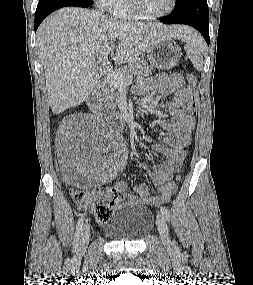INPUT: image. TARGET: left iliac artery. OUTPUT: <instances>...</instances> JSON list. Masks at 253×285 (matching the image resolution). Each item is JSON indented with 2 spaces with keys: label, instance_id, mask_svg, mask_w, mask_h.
Wrapping results in <instances>:
<instances>
[{
  "label": "left iliac artery",
  "instance_id": "left-iliac-artery-1",
  "mask_svg": "<svg viewBox=\"0 0 253 285\" xmlns=\"http://www.w3.org/2000/svg\"><path fill=\"white\" fill-rule=\"evenodd\" d=\"M161 213H162L163 217H164L168 222H170L171 215H170L169 210H168L166 207H161ZM173 243L176 244L175 241H174Z\"/></svg>",
  "mask_w": 253,
  "mask_h": 285
}]
</instances>
